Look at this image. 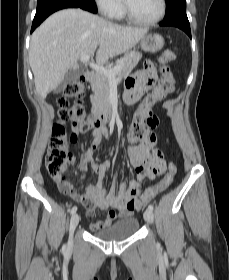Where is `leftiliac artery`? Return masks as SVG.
Instances as JSON below:
<instances>
[{"label":"left iliac artery","instance_id":"44dca946","mask_svg":"<svg viewBox=\"0 0 229 280\" xmlns=\"http://www.w3.org/2000/svg\"><path fill=\"white\" fill-rule=\"evenodd\" d=\"M148 209L151 210V211H153V209H154L153 205L150 204V205L148 206Z\"/></svg>","mask_w":229,"mask_h":280}]
</instances>
